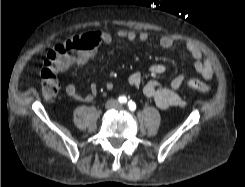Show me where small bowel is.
I'll return each instance as SVG.
<instances>
[{
    "label": "small bowel",
    "instance_id": "c3829d8e",
    "mask_svg": "<svg viewBox=\"0 0 245 187\" xmlns=\"http://www.w3.org/2000/svg\"><path fill=\"white\" fill-rule=\"evenodd\" d=\"M114 37L119 39H125L128 41H141L146 42L151 38V34L147 31H136L127 29H118L114 34L105 31H93L86 35L87 48L82 51H78L74 55L68 56L65 61L58 64L59 71H66L73 65H84L92 59L96 49L101 44H110ZM177 39L171 35L161 36L159 43L161 47L165 49L171 48ZM185 48L191 54L194 59V69L204 79H211L214 76L213 64L209 59H204L202 52L196 44L191 41L185 42ZM47 57H51V51L47 54ZM153 75H160L166 71V67L163 64H154L149 69ZM186 76L180 74L176 76L169 86L161 85L156 81H149L143 86V93L146 97L152 99L155 104L161 109H167L173 106H184L185 100L178 94V90L185 82ZM127 82L130 86L140 87L143 82L142 75L139 72L131 73ZM112 83L106 85V89H112ZM66 94L73 100L81 103L90 102L97 95V87L92 84L90 87V93L84 94L80 92L74 83H69L66 86Z\"/></svg>",
    "mask_w": 245,
    "mask_h": 187
}]
</instances>
